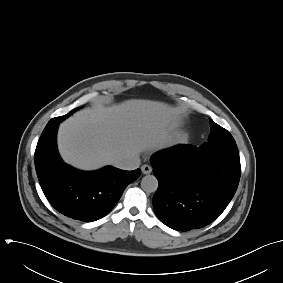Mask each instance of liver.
Listing matches in <instances>:
<instances>
[{"label": "liver", "instance_id": "6515ba94", "mask_svg": "<svg viewBox=\"0 0 283 283\" xmlns=\"http://www.w3.org/2000/svg\"><path fill=\"white\" fill-rule=\"evenodd\" d=\"M176 117L175 108L149 100L97 106L60 125L59 151L65 162L79 169H98L121 157L139 156L165 139Z\"/></svg>", "mask_w": 283, "mask_h": 283}]
</instances>
